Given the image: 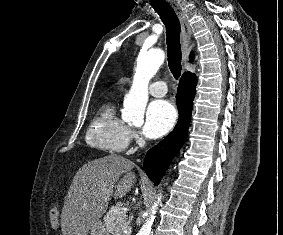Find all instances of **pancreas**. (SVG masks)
<instances>
[{
	"instance_id": "1",
	"label": "pancreas",
	"mask_w": 283,
	"mask_h": 235,
	"mask_svg": "<svg viewBox=\"0 0 283 235\" xmlns=\"http://www.w3.org/2000/svg\"><path fill=\"white\" fill-rule=\"evenodd\" d=\"M123 207L124 203L118 202L104 216L103 221L107 233L112 235H129L131 233L130 220H127V215L122 211Z\"/></svg>"
}]
</instances>
